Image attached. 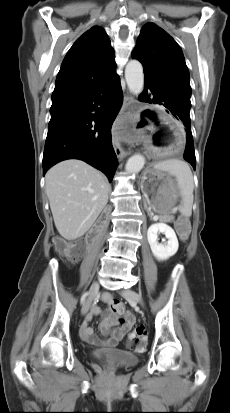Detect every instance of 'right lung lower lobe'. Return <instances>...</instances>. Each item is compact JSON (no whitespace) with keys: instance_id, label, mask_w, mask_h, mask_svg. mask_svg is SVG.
<instances>
[{"instance_id":"1","label":"right lung lower lobe","mask_w":230,"mask_h":413,"mask_svg":"<svg viewBox=\"0 0 230 413\" xmlns=\"http://www.w3.org/2000/svg\"><path fill=\"white\" fill-rule=\"evenodd\" d=\"M122 102L116 73L85 93L52 100L43 175L60 161L80 159L101 170L111 182L118 164L111 128Z\"/></svg>"}]
</instances>
